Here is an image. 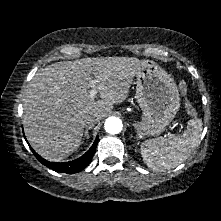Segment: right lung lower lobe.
Wrapping results in <instances>:
<instances>
[{"label": "right lung lower lobe", "instance_id": "obj_1", "mask_svg": "<svg viewBox=\"0 0 221 221\" xmlns=\"http://www.w3.org/2000/svg\"><path fill=\"white\" fill-rule=\"evenodd\" d=\"M98 143V136L96 137L93 145L90 147V149L81 157L69 161V162H49L45 159H43L41 156H39L31 147L30 149L32 150L33 154L37 158V160L42 163L43 165L53 169L54 171L61 172V173H67V174H72V173H77L83 170L88 166V164L91 162L93 155L95 154V150L97 147Z\"/></svg>", "mask_w": 221, "mask_h": 221}]
</instances>
